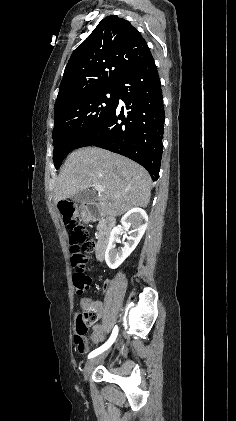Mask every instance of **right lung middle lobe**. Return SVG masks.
<instances>
[{
    "label": "right lung middle lobe",
    "instance_id": "1",
    "mask_svg": "<svg viewBox=\"0 0 236 421\" xmlns=\"http://www.w3.org/2000/svg\"><path fill=\"white\" fill-rule=\"evenodd\" d=\"M116 104V88H109L78 96L54 110L52 138L56 169L68 153L104 122Z\"/></svg>",
    "mask_w": 236,
    "mask_h": 421
}]
</instances>
